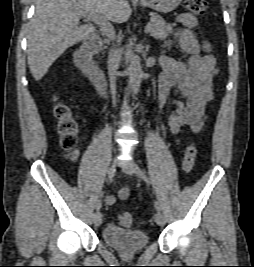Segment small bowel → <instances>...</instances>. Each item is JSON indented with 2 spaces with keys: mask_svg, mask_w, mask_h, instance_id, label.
I'll list each match as a JSON object with an SVG mask.
<instances>
[{
  "mask_svg": "<svg viewBox=\"0 0 254 267\" xmlns=\"http://www.w3.org/2000/svg\"><path fill=\"white\" fill-rule=\"evenodd\" d=\"M176 21L182 25L176 32V39L190 58L185 63L161 55L162 72L159 78L160 106L166 103L171 91L175 96L169 114V125L174 135L180 134L184 127H189L194 132L201 130L207 106L213 99L212 78L217 73L210 43L198 38L197 19L192 14L182 13ZM129 196V186L121 187L117 193V198L122 201ZM115 202L114 195H105L107 205H114Z\"/></svg>",
  "mask_w": 254,
  "mask_h": 267,
  "instance_id": "1",
  "label": "small bowel"
}]
</instances>
